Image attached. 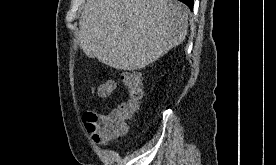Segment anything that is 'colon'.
Listing matches in <instances>:
<instances>
[{
    "label": "colon",
    "mask_w": 276,
    "mask_h": 165,
    "mask_svg": "<svg viewBox=\"0 0 276 165\" xmlns=\"http://www.w3.org/2000/svg\"><path fill=\"white\" fill-rule=\"evenodd\" d=\"M124 84L129 92V98L111 112L99 115L93 111H87L83 115V122L87 131L95 142L109 140L126 131L129 121L139 107L143 98L142 79L137 72H127L124 76ZM115 84L112 80L98 84L94 92L100 97H108L112 94Z\"/></svg>",
    "instance_id": "5ec220e1"
}]
</instances>
